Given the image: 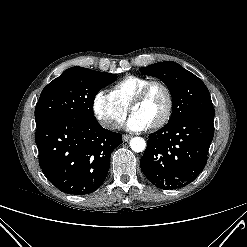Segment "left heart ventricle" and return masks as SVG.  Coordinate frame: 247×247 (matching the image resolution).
Returning <instances> with one entry per match:
<instances>
[{
  "mask_svg": "<svg viewBox=\"0 0 247 247\" xmlns=\"http://www.w3.org/2000/svg\"><path fill=\"white\" fill-rule=\"evenodd\" d=\"M166 105L165 93L162 89L155 87L143 102L134 107L133 113L152 125L163 116Z\"/></svg>",
  "mask_w": 247,
  "mask_h": 247,
  "instance_id": "b2bd125f",
  "label": "left heart ventricle"
}]
</instances>
